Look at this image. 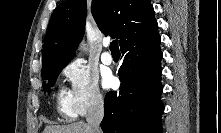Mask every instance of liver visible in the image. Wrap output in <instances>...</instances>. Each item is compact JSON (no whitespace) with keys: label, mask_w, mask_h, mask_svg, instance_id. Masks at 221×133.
I'll return each instance as SVG.
<instances>
[{"label":"liver","mask_w":221,"mask_h":133,"mask_svg":"<svg viewBox=\"0 0 221 133\" xmlns=\"http://www.w3.org/2000/svg\"><path fill=\"white\" fill-rule=\"evenodd\" d=\"M43 133H91V128L84 122L71 123L68 125H49Z\"/></svg>","instance_id":"1"}]
</instances>
